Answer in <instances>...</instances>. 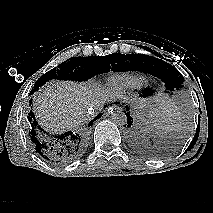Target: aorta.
<instances>
[{"mask_svg":"<svg viewBox=\"0 0 213 213\" xmlns=\"http://www.w3.org/2000/svg\"><path fill=\"white\" fill-rule=\"evenodd\" d=\"M112 121L118 126H124L127 123V116L122 111H117L112 115Z\"/></svg>","mask_w":213,"mask_h":213,"instance_id":"obj_1","label":"aorta"}]
</instances>
